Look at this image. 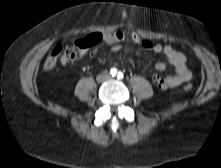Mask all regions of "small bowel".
<instances>
[{
	"instance_id": "c3829d8e",
	"label": "small bowel",
	"mask_w": 221,
	"mask_h": 168,
	"mask_svg": "<svg viewBox=\"0 0 221 168\" xmlns=\"http://www.w3.org/2000/svg\"><path fill=\"white\" fill-rule=\"evenodd\" d=\"M108 45L111 46L112 53H118L123 49L121 41L113 45ZM141 47L145 50L153 51L156 54L164 55L167 63L175 69L176 74L172 76H167L165 78L158 75L152 76L153 82L161 89L175 88L191 79L192 74L187 66L186 57L183 53L173 49L171 46L155 44L150 40H144V45ZM155 69L159 72H164L167 69V64L158 61L155 63Z\"/></svg>"
}]
</instances>
